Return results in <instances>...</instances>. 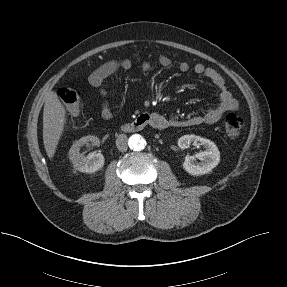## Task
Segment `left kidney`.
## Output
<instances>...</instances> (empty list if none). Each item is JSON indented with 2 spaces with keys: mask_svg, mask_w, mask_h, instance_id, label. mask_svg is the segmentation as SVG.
<instances>
[{
  "mask_svg": "<svg viewBox=\"0 0 287 287\" xmlns=\"http://www.w3.org/2000/svg\"><path fill=\"white\" fill-rule=\"evenodd\" d=\"M191 143L198 146L203 145L206 150L196 154V156H187L183 163L185 171L193 176L211 172L220 162V152L217 146L209 139L196 135H184L178 140V146L181 149L188 148ZM196 158L201 162H196Z\"/></svg>",
  "mask_w": 287,
  "mask_h": 287,
  "instance_id": "left-kidney-1",
  "label": "left kidney"
}]
</instances>
